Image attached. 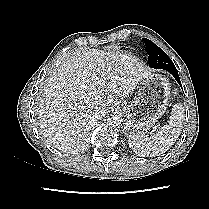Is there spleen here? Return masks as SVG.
<instances>
[{
	"mask_svg": "<svg viewBox=\"0 0 209 209\" xmlns=\"http://www.w3.org/2000/svg\"><path fill=\"white\" fill-rule=\"evenodd\" d=\"M185 121L184 107L175 104L172 108L170 120L152 137H146L143 133H131L128 139L129 147L141 156H157L168 151L177 141L183 129Z\"/></svg>",
	"mask_w": 209,
	"mask_h": 209,
	"instance_id": "spleen-1",
	"label": "spleen"
}]
</instances>
